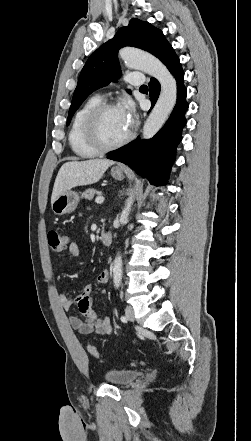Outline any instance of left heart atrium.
I'll list each match as a JSON object with an SVG mask.
<instances>
[{
    "instance_id": "obj_1",
    "label": "left heart atrium",
    "mask_w": 251,
    "mask_h": 441,
    "mask_svg": "<svg viewBox=\"0 0 251 441\" xmlns=\"http://www.w3.org/2000/svg\"><path fill=\"white\" fill-rule=\"evenodd\" d=\"M126 123L129 127L132 126L134 121V107L131 102L126 101L119 107Z\"/></svg>"
}]
</instances>
